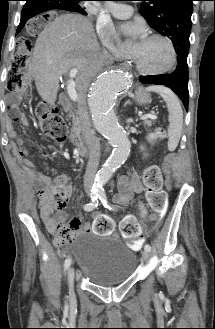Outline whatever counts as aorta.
<instances>
[{
  "label": "aorta",
  "instance_id": "1",
  "mask_svg": "<svg viewBox=\"0 0 215 329\" xmlns=\"http://www.w3.org/2000/svg\"><path fill=\"white\" fill-rule=\"evenodd\" d=\"M130 83L128 73L109 69L99 75L89 90L88 105L94 127L113 146L112 154L96 175V186L104 185L130 153L131 143L114 112L119 93L126 90Z\"/></svg>",
  "mask_w": 215,
  "mask_h": 329
}]
</instances>
